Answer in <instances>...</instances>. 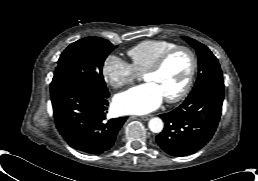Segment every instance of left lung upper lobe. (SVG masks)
<instances>
[{
	"label": "left lung upper lobe",
	"instance_id": "1",
	"mask_svg": "<svg viewBox=\"0 0 258 181\" xmlns=\"http://www.w3.org/2000/svg\"><path fill=\"white\" fill-rule=\"evenodd\" d=\"M182 38L196 50L199 62L198 78L187 98L194 97L207 89H224L222 71L217 58L204 44L186 36Z\"/></svg>",
	"mask_w": 258,
	"mask_h": 181
}]
</instances>
